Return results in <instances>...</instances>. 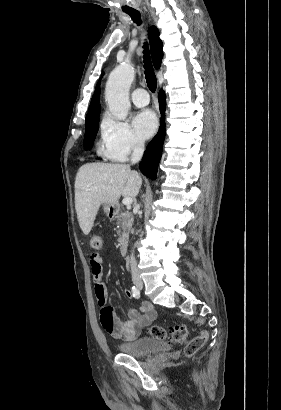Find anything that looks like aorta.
Listing matches in <instances>:
<instances>
[{
  "instance_id": "aorta-1",
  "label": "aorta",
  "mask_w": 281,
  "mask_h": 410,
  "mask_svg": "<svg viewBox=\"0 0 281 410\" xmlns=\"http://www.w3.org/2000/svg\"><path fill=\"white\" fill-rule=\"evenodd\" d=\"M134 68L122 63L109 75L105 88V99L111 114L118 120L126 119L130 109L129 89L134 80Z\"/></svg>"
}]
</instances>
